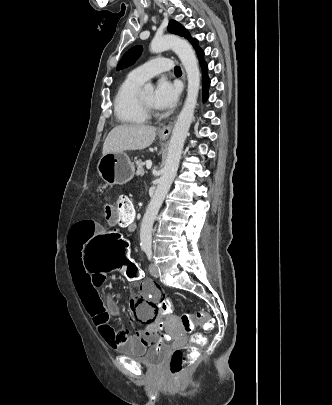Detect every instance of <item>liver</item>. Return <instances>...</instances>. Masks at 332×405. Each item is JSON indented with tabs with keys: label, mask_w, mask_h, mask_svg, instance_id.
Listing matches in <instances>:
<instances>
[{
	"label": "liver",
	"mask_w": 332,
	"mask_h": 405,
	"mask_svg": "<svg viewBox=\"0 0 332 405\" xmlns=\"http://www.w3.org/2000/svg\"><path fill=\"white\" fill-rule=\"evenodd\" d=\"M156 128L144 124H122L114 127L103 144V155L126 150H142L149 147L155 137Z\"/></svg>",
	"instance_id": "liver-1"
}]
</instances>
